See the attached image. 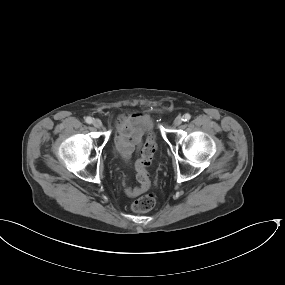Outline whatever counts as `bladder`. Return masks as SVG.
Returning a JSON list of instances; mask_svg holds the SVG:
<instances>
[{
  "mask_svg": "<svg viewBox=\"0 0 285 285\" xmlns=\"http://www.w3.org/2000/svg\"><path fill=\"white\" fill-rule=\"evenodd\" d=\"M152 127L151 119L149 117H142L132 122L131 129L134 131H138L140 129L151 131Z\"/></svg>",
  "mask_w": 285,
  "mask_h": 285,
  "instance_id": "1",
  "label": "bladder"
}]
</instances>
